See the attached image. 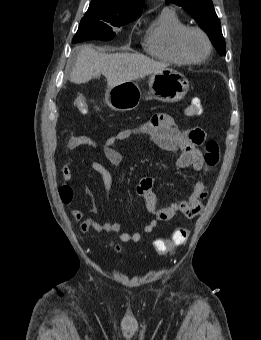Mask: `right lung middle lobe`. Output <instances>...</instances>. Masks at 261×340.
<instances>
[{
  "label": "right lung middle lobe",
  "instance_id": "right-lung-middle-lobe-1",
  "mask_svg": "<svg viewBox=\"0 0 261 340\" xmlns=\"http://www.w3.org/2000/svg\"><path fill=\"white\" fill-rule=\"evenodd\" d=\"M136 17H120L101 10L88 9L81 19L78 31L72 42H82L91 39L111 40L115 37L114 27H120Z\"/></svg>",
  "mask_w": 261,
  "mask_h": 340
}]
</instances>
